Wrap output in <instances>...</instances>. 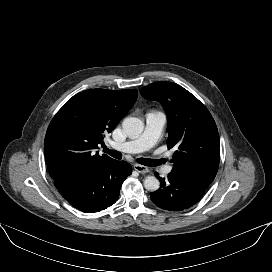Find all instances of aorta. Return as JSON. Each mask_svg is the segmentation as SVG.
<instances>
[{
    "mask_svg": "<svg viewBox=\"0 0 272 272\" xmlns=\"http://www.w3.org/2000/svg\"><path fill=\"white\" fill-rule=\"evenodd\" d=\"M122 127L127 135L135 137L143 132L144 123L139 118L127 117L124 119ZM144 187L148 191H156L160 187V182L154 176H147L144 179Z\"/></svg>",
    "mask_w": 272,
    "mask_h": 272,
    "instance_id": "1",
    "label": "aorta"
}]
</instances>
